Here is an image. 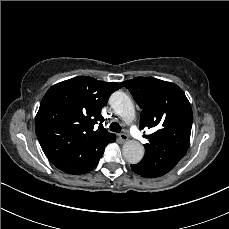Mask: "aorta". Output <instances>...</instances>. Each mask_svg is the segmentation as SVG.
I'll use <instances>...</instances> for the list:
<instances>
[{
    "label": "aorta",
    "instance_id": "obj_1",
    "mask_svg": "<svg viewBox=\"0 0 229 229\" xmlns=\"http://www.w3.org/2000/svg\"><path fill=\"white\" fill-rule=\"evenodd\" d=\"M110 105L114 112L125 122H131L135 117V108L131 98L122 91L114 92L110 99ZM123 156L131 164L139 163L144 156L143 146L135 140H129L123 145Z\"/></svg>",
    "mask_w": 229,
    "mask_h": 229
}]
</instances>
